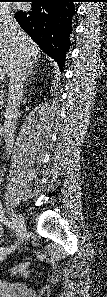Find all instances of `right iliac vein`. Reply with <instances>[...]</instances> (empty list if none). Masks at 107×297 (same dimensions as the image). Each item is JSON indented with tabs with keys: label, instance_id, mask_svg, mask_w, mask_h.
Masks as SVG:
<instances>
[{
	"label": "right iliac vein",
	"instance_id": "1",
	"mask_svg": "<svg viewBox=\"0 0 107 297\" xmlns=\"http://www.w3.org/2000/svg\"><path fill=\"white\" fill-rule=\"evenodd\" d=\"M14 217V222H15V226L16 228L20 231V232H24L26 231V227H25V222L23 217L20 214H13ZM22 239V237L20 236V240ZM18 247V244H16L15 246H12L11 248H9V250L4 251L1 254L0 259L4 260L7 258L8 255H10L13 251H15V249Z\"/></svg>",
	"mask_w": 107,
	"mask_h": 297
}]
</instances>
